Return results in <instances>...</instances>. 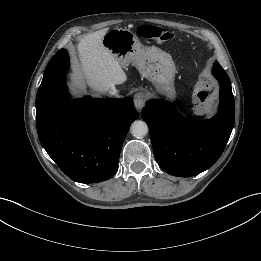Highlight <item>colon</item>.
I'll return each instance as SVG.
<instances>
[{
    "instance_id": "5ec220e1",
    "label": "colon",
    "mask_w": 261,
    "mask_h": 261,
    "mask_svg": "<svg viewBox=\"0 0 261 261\" xmlns=\"http://www.w3.org/2000/svg\"><path fill=\"white\" fill-rule=\"evenodd\" d=\"M138 34L144 38L160 43H166L174 38L172 32L155 26L144 25L139 27ZM197 99L202 104L205 111L212 109L211 97L214 95L215 76L208 71L202 72L197 79Z\"/></svg>"
}]
</instances>
